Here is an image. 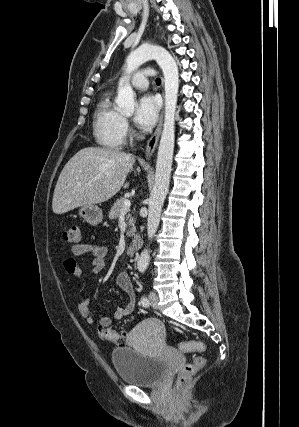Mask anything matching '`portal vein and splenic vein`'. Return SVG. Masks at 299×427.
Instances as JSON below:
<instances>
[{
	"mask_svg": "<svg viewBox=\"0 0 299 427\" xmlns=\"http://www.w3.org/2000/svg\"><path fill=\"white\" fill-rule=\"evenodd\" d=\"M130 206H131L130 200H125L124 204H123V207L121 209V213L127 212L130 209Z\"/></svg>",
	"mask_w": 299,
	"mask_h": 427,
	"instance_id": "1",
	"label": "portal vein and splenic vein"
}]
</instances>
